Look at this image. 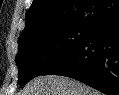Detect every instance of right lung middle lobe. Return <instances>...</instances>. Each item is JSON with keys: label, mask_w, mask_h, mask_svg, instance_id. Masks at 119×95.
<instances>
[{"label": "right lung middle lobe", "mask_w": 119, "mask_h": 95, "mask_svg": "<svg viewBox=\"0 0 119 95\" xmlns=\"http://www.w3.org/2000/svg\"><path fill=\"white\" fill-rule=\"evenodd\" d=\"M92 29L80 25L54 26L19 39L16 64L19 84L44 73L76 47Z\"/></svg>", "instance_id": "right-lung-middle-lobe-1"}]
</instances>
